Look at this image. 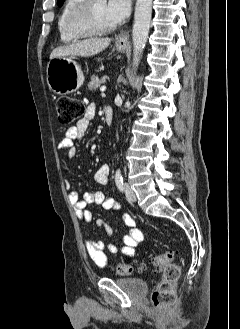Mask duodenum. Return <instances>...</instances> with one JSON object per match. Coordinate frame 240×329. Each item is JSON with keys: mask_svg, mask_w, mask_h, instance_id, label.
<instances>
[{"mask_svg": "<svg viewBox=\"0 0 240 329\" xmlns=\"http://www.w3.org/2000/svg\"><path fill=\"white\" fill-rule=\"evenodd\" d=\"M105 119L108 126L112 125L113 122V110L109 105L104 106Z\"/></svg>", "mask_w": 240, "mask_h": 329, "instance_id": "obj_1", "label": "duodenum"}]
</instances>
